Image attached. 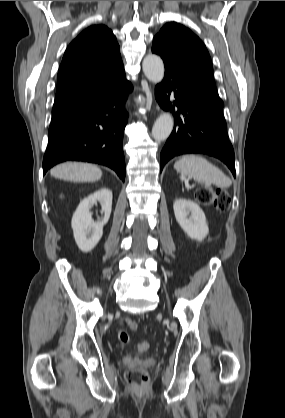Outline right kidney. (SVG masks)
<instances>
[{
    "instance_id": "ca27d5eb",
    "label": "right kidney",
    "mask_w": 285,
    "mask_h": 418,
    "mask_svg": "<svg viewBox=\"0 0 285 418\" xmlns=\"http://www.w3.org/2000/svg\"><path fill=\"white\" fill-rule=\"evenodd\" d=\"M100 203L103 217L94 222L90 209ZM112 210V192L101 188L83 199L77 207L71 221L74 239L82 252H90L100 241L103 226L108 222Z\"/></svg>"
}]
</instances>
